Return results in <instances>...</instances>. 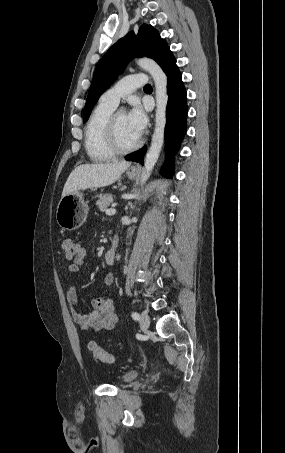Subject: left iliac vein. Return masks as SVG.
Returning a JSON list of instances; mask_svg holds the SVG:
<instances>
[{
	"label": "left iliac vein",
	"mask_w": 285,
	"mask_h": 453,
	"mask_svg": "<svg viewBox=\"0 0 285 453\" xmlns=\"http://www.w3.org/2000/svg\"><path fill=\"white\" fill-rule=\"evenodd\" d=\"M150 325V318L147 312L143 311L140 318V326L142 330H147Z\"/></svg>",
	"instance_id": "1"
}]
</instances>
